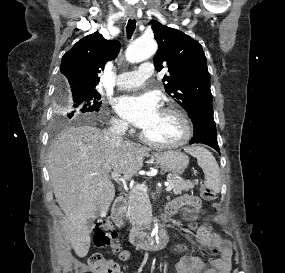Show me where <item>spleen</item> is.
Returning <instances> with one entry per match:
<instances>
[{
    "label": "spleen",
    "instance_id": "1",
    "mask_svg": "<svg viewBox=\"0 0 285 273\" xmlns=\"http://www.w3.org/2000/svg\"><path fill=\"white\" fill-rule=\"evenodd\" d=\"M186 151L197 159L205 174L206 186L218 193L221 188L220 169L212 153L200 146H192Z\"/></svg>",
    "mask_w": 285,
    "mask_h": 273
}]
</instances>
